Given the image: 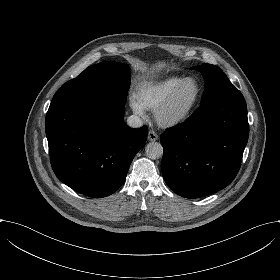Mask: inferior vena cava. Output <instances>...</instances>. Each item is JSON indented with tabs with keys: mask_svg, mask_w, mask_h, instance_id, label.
I'll list each match as a JSON object with an SVG mask.
<instances>
[{
	"mask_svg": "<svg viewBox=\"0 0 280 280\" xmlns=\"http://www.w3.org/2000/svg\"><path fill=\"white\" fill-rule=\"evenodd\" d=\"M127 124L132 128H138L143 125L142 119L136 115H131L127 118Z\"/></svg>",
	"mask_w": 280,
	"mask_h": 280,
	"instance_id": "inferior-vena-cava-1",
	"label": "inferior vena cava"
}]
</instances>
